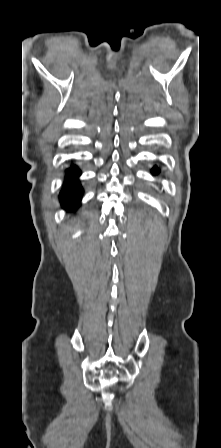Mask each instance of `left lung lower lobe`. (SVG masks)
Instances as JSON below:
<instances>
[{"label": "left lung lower lobe", "instance_id": "obj_1", "mask_svg": "<svg viewBox=\"0 0 221 448\" xmlns=\"http://www.w3.org/2000/svg\"><path fill=\"white\" fill-rule=\"evenodd\" d=\"M152 173H153V174H158V173H159V169L155 166V167L152 169Z\"/></svg>", "mask_w": 221, "mask_h": 448}]
</instances>
